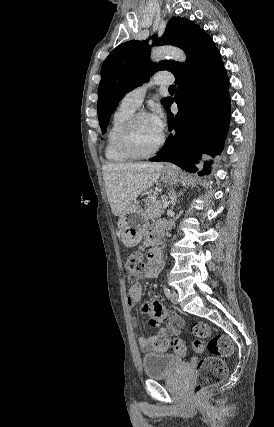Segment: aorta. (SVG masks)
<instances>
[{
	"mask_svg": "<svg viewBox=\"0 0 274 427\" xmlns=\"http://www.w3.org/2000/svg\"><path fill=\"white\" fill-rule=\"evenodd\" d=\"M165 58H171L178 62H186L185 53L176 47H158L154 48L151 52L150 59L154 62H158Z\"/></svg>",
	"mask_w": 274,
	"mask_h": 427,
	"instance_id": "1",
	"label": "aorta"
}]
</instances>
